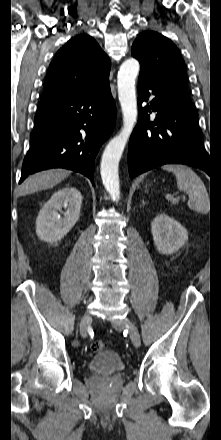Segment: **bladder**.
Listing matches in <instances>:
<instances>
[{
	"label": "bladder",
	"mask_w": 221,
	"mask_h": 440,
	"mask_svg": "<svg viewBox=\"0 0 221 440\" xmlns=\"http://www.w3.org/2000/svg\"><path fill=\"white\" fill-rule=\"evenodd\" d=\"M123 367L122 358L112 350L98 352L88 363L89 371L99 375H111L121 371Z\"/></svg>",
	"instance_id": "obj_1"
}]
</instances>
